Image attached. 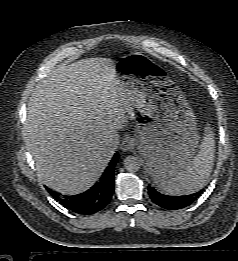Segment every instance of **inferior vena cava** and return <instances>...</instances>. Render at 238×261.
<instances>
[{"instance_id": "1", "label": "inferior vena cava", "mask_w": 238, "mask_h": 261, "mask_svg": "<svg viewBox=\"0 0 238 261\" xmlns=\"http://www.w3.org/2000/svg\"><path fill=\"white\" fill-rule=\"evenodd\" d=\"M116 143L114 141H110L109 143H107V150L110 152V153H114L115 150H116Z\"/></svg>"}]
</instances>
